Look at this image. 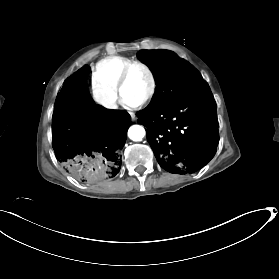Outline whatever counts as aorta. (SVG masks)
<instances>
[{
  "label": "aorta",
  "instance_id": "obj_1",
  "mask_svg": "<svg viewBox=\"0 0 279 279\" xmlns=\"http://www.w3.org/2000/svg\"><path fill=\"white\" fill-rule=\"evenodd\" d=\"M145 134V129L141 125H132L128 129V137L133 141H141Z\"/></svg>",
  "mask_w": 279,
  "mask_h": 279
}]
</instances>
